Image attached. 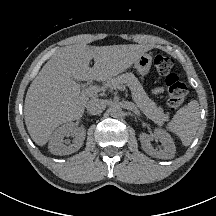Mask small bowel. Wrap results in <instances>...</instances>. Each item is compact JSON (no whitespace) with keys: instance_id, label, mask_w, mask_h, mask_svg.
Wrapping results in <instances>:
<instances>
[{"instance_id":"obj_1","label":"small bowel","mask_w":216,"mask_h":216,"mask_svg":"<svg viewBox=\"0 0 216 216\" xmlns=\"http://www.w3.org/2000/svg\"><path fill=\"white\" fill-rule=\"evenodd\" d=\"M155 92H156V93H162V92H163V88H162V87H157V88L155 89Z\"/></svg>"}]
</instances>
